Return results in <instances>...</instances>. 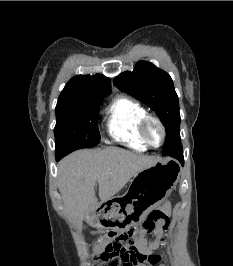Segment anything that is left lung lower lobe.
<instances>
[{
  "label": "left lung lower lobe",
  "instance_id": "obj_1",
  "mask_svg": "<svg viewBox=\"0 0 233 266\" xmlns=\"http://www.w3.org/2000/svg\"><path fill=\"white\" fill-rule=\"evenodd\" d=\"M167 155L179 160L182 165L184 164L183 151H182L181 144L177 145L172 151L168 152Z\"/></svg>",
  "mask_w": 233,
  "mask_h": 266
}]
</instances>
